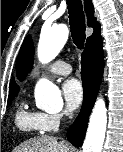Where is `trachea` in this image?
I'll use <instances>...</instances> for the list:
<instances>
[{"label": "trachea", "mask_w": 123, "mask_h": 152, "mask_svg": "<svg viewBox=\"0 0 123 152\" xmlns=\"http://www.w3.org/2000/svg\"><path fill=\"white\" fill-rule=\"evenodd\" d=\"M69 24L74 44L82 49L85 42V16L81 0H67Z\"/></svg>", "instance_id": "trachea-1"}]
</instances>
